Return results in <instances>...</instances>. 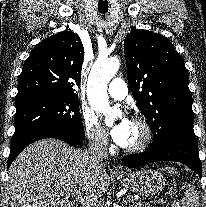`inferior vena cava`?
<instances>
[{
    "mask_svg": "<svg viewBox=\"0 0 206 207\" xmlns=\"http://www.w3.org/2000/svg\"><path fill=\"white\" fill-rule=\"evenodd\" d=\"M107 145V139L102 134L94 133L89 136L88 150L86 151L89 161L93 166L100 167L102 166V160L108 159ZM82 205L83 207H86V205L87 207H99L91 201H87Z\"/></svg>",
    "mask_w": 206,
    "mask_h": 207,
    "instance_id": "inferior-vena-cava-1",
    "label": "inferior vena cava"
}]
</instances>
